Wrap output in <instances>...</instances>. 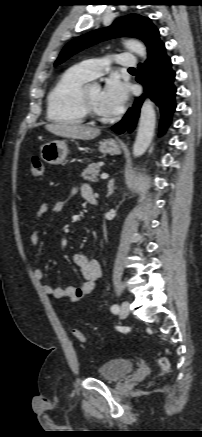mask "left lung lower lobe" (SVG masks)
Masks as SVG:
<instances>
[{"mask_svg":"<svg viewBox=\"0 0 202 437\" xmlns=\"http://www.w3.org/2000/svg\"><path fill=\"white\" fill-rule=\"evenodd\" d=\"M138 69L137 81L145 87L147 95L160 109L159 133L161 135L169 126L176 108L175 71L172 69L170 57L166 54L164 43H161L151 53L147 61L139 65ZM143 100V96L137 98L123 119L115 124L112 130L118 134L123 133L127 128L132 131L139 118Z\"/></svg>","mask_w":202,"mask_h":437,"instance_id":"obj_1","label":"left lung lower lobe"}]
</instances>
